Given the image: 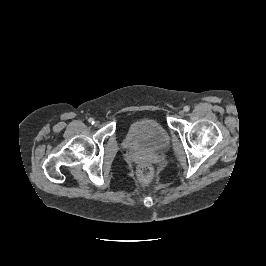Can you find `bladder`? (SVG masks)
<instances>
[{
  "label": "bladder",
  "instance_id": "obj_1",
  "mask_svg": "<svg viewBox=\"0 0 266 266\" xmlns=\"http://www.w3.org/2000/svg\"><path fill=\"white\" fill-rule=\"evenodd\" d=\"M123 144L135 153L163 150L170 146V135L159 122L141 119L128 126Z\"/></svg>",
  "mask_w": 266,
  "mask_h": 266
}]
</instances>
